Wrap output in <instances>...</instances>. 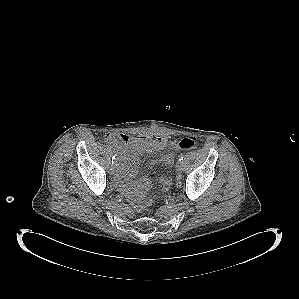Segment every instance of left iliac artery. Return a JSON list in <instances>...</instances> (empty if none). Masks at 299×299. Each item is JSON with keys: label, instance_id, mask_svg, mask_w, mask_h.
Returning a JSON list of instances; mask_svg holds the SVG:
<instances>
[{"label": "left iliac artery", "instance_id": "obj_1", "mask_svg": "<svg viewBox=\"0 0 299 299\" xmlns=\"http://www.w3.org/2000/svg\"><path fill=\"white\" fill-rule=\"evenodd\" d=\"M178 158H179V159H178L179 161H182L183 158H184L183 154H180Z\"/></svg>", "mask_w": 299, "mask_h": 299}]
</instances>
